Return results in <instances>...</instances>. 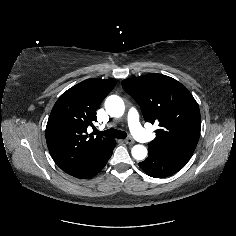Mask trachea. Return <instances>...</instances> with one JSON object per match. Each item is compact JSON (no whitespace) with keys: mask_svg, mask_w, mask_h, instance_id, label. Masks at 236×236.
I'll return each mask as SVG.
<instances>
[{"mask_svg":"<svg viewBox=\"0 0 236 236\" xmlns=\"http://www.w3.org/2000/svg\"><path fill=\"white\" fill-rule=\"evenodd\" d=\"M98 135L106 136V137H111V138H119V139H124L127 137L126 132L116 130V129H108L105 131H97Z\"/></svg>","mask_w":236,"mask_h":236,"instance_id":"1","label":"trachea"}]
</instances>
